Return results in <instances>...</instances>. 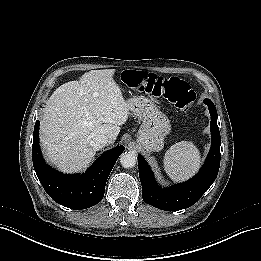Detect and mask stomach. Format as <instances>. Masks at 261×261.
Returning <instances> with one entry per match:
<instances>
[{
  "instance_id": "obj_1",
  "label": "stomach",
  "mask_w": 261,
  "mask_h": 261,
  "mask_svg": "<svg viewBox=\"0 0 261 261\" xmlns=\"http://www.w3.org/2000/svg\"><path fill=\"white\" fill-rule=\"evenodd\" d=\"M128 103L130 111L142 122L137 134L138 144L147 153L162 150L171 130L169 118L147 98L133 97Z\"/></svg>"
}]
</instances>
